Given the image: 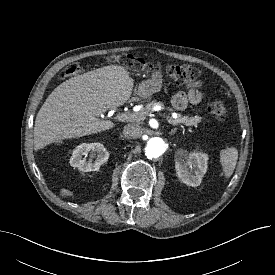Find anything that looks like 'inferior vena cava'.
<instances>
[{"label":"inferior vena cava","instance_id":"1","mask_svg":"<svg viewBox=\"0 0 275 275\" xmlns=\"http://www.w3.org/2000/svg\"><path fill=\"white\" fill-rule=\"evenodd\" d=\"M123 134L126 138L136 139L141 135V127L136 124H128L124 126Z\"/></svg>","mask_w":275,"mask_h":275}]
</instances>
